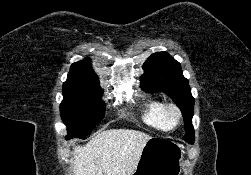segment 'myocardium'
I'll return each mask as SVG.
<instances>
[{
	"instance_id": "obj_1",
	"label": "myocardium",
	"mask_w": 251,
	"mask_h": 175,
	"mask_svg": "<svg viewBox=\"0 0 251 175\" xmlns=\"http://www.w3.org/2000/svg\"><path fill=\"white\" fill-rule=\"evenodd\" d=\"M166 119L172 124L173 127L177 126L183 118L182 110L176 104H168L165 106Z\"/></svg>"
}]
</instances>
